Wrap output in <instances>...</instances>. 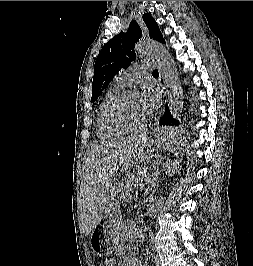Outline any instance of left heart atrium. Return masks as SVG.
Masks as SVG:
<instances>
[{"mask_svg":"<svg viewBox=\"0 0 253 266\" xmlns=\"http://www.w3.org/2000/svg\"><path fill=\"white\" fill-rule=\"evenodd\" d=\"M140 98L147 116L152 115L158 109L160 103L159 96L149 87L142 91Z\"/></svg>","mask_w":253,"mask_h":266,"instance_id":"39dd6f15","label":"left heart atrium"}]
</instances>
